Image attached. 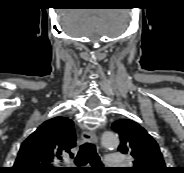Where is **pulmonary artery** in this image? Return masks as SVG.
<instances>
[{"label": "pulmonary artery", "instance_id": "pulmonary-artery-1", "mask_svg": "<svg viewBox=\"0 0 184 173\" xmlns=\"http://www.w3.org/2000/svg\"><path fill=\"white\" fill-rule=\"evenodd\" d=\"M122 164L121 154H109L105 157V166L118 168Z\"/></svg>", "mask_w": 184, "mask_h": 173}]
</instances>
